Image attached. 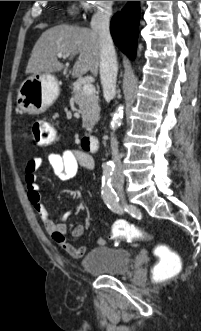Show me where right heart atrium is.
Masks as SVG:
<instances>
[{
	"instance_id": "right-heart-atrium-1",
	"label": "right heart atrium",
	"mask_w": 201,
	"mask_h": 331,
	"mask_svg": "<svg viewBox=\"0 0 201 331\" xmlns=\"http://www.w3.org/2000/svg\"><path fill=\"white\" fill-rule=\"evenodd\" d=\"M112 1H78L82 16L85 19H101L109 16Z\"/></svg>"
}]
</instances>
